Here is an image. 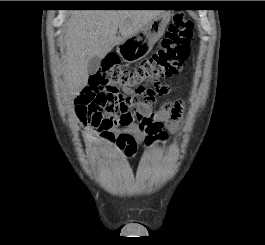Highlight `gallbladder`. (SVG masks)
<instances>
[{
  "label": "gallbladder",
  "instance_id": "gallbladder-1",
  "mask_svg": "<svg viewBox=\"0 0 265 245\" xmlns=\"http://www.w3.org/2000/svg\"><path fill=\"white\" fill-rule=\"evenodd\" d=\"M100 66V58L95 56L92 57L87 65V72L89 75H93L97 72V70L99 69Z\"/></svg>",
  "mask_w": 265,
  "mask_h": 245
}]
</instances>
